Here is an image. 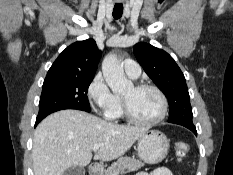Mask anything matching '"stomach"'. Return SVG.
<instances>
[{
	"label": "stomach",
	"instance_id": "obj_1",
	"mask_svg": "<svg viewBox=\"0 0 233 175\" xmlns=\"http://www.w3.org/2000/svg\"><path fill=\"white\" fill-rule=\"evenodd\" d=\"M138 156L148 164L164 160L169 151V140L158 130H147L137 143Z\"/></svg>",
	"mask_w": 233,
	"mask_h": 175
}]
</instances>
